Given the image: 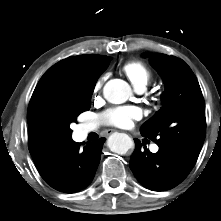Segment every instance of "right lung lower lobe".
Listing matches in <instances>:
<instances>
[{"label":"right lung lower lobe","instance_id":"1","mask_svg":"<svg viewBox=\"0 0 221 221\" xmlns=\"http://www.w3.org/2000/svg\"><path fill=\"white\" fill-rule=\"evenodd\" d=\"M105 138L83 149L73 140L34 161L45 182L52 188L74 193L87 187L97 170Z\"/></svg>","mask_w":221,"mask_h":221}]
</instances>
